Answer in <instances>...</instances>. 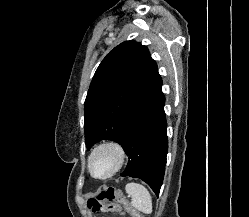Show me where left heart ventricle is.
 Wrapping results in <instances>:
<instances>
[{
    "mask_svg": "<svg viewBox=\"0 0 249 217\" xmlns=\"http://www.w3.org/2000/svg\"><path fill=\"white\" fill-rule=\"evenodd\" d=\"M113 163V156L109 152L99 153L93 160V171L96 174L106 172Z\"/></svg>",
    "mask_w": 249,
    "mask_h": 217,
    "instance_id": "left-heart-ventricle-1",
    "label": "left heart ventricle"
}]
</instances>
